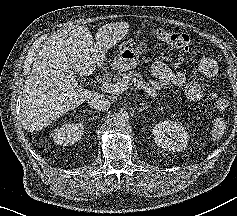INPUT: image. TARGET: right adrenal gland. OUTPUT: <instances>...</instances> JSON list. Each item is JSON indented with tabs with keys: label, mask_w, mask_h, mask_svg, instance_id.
I'll use <instances>...</instances> for the list:
<instances>
[{
	"label": "right adrenal gland",
	"mask_w": 237,
	"mask_h": 216,
	"mask_svg": "<svg viewBox=\"0 0 237 216\" xmlns=\"http://www.w3.org/2000/svg\"><path fill=\"white\" fill-rule=\"evenodd\" d=\"M89 113H92V110H87ZM83 112H86V110H84ZM95 114V112H93Z\"/></svg>",
	"instance_id": "right-adrenal-gland-1"
}]
</instances>
